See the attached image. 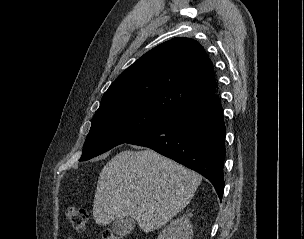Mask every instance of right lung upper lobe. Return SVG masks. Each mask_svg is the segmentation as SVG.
Wrapping results in <instances>:
<instances>
[{
    "label": "right lung upper lobe",
    "mask_w": 304,
    "mask_h": 239,
    "mask_svg": "<svg viewBox=\"0 0 304 239\" xmlns=\"http://www.w3.org/2000/svg\"><path fill=\"white\" fill-rule=\"evenodd\" d=\"M215 94L211 60L190 38H174L140 57L102 97L95 115L146 108L173 116Z\"/></svg>",
    "instance_id": "1"
}]
</instances>
